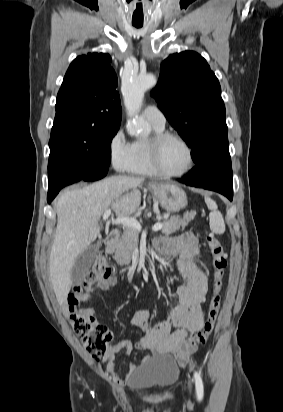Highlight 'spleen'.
Wrapping results in <instances>:
<instances>
[{
    "label": "spleen",
    "mask_w": 283,
    "mask_h": 412,
    "mask_svg": "<svg viewBox=\"0 0 283 412\" xmlns=\"http://www.w3.org/2000/svg\"><path fill=\"white\" fill-rule=\"evenodd\" d=\"M205 202L211 210V213L209 214L211 231L215 234H223L225 232V222L221 212L218 211L216 202L209 197H205Z\"/></svg>",
    "instance_id": "3e777b00"
}]
</instances>
